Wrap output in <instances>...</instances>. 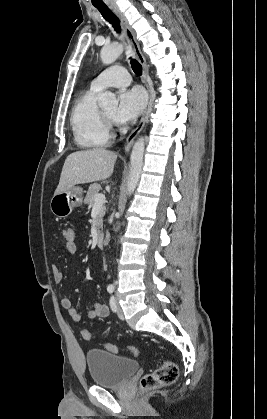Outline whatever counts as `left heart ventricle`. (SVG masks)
I'll return each instance as SVG.
<instances>
[{"label":"left heart ventricle","mask_w":267,"mask_h":419,"mask_svg":"<svg viewBox=\"0 0 267 419\" xmlns=\"http://www.w3.org/2000/svg\"><path fill=\"white\" fill-rule=\"evenodd\" d=\"M116 111L117 108L115 106L105 109L106 114L113 119L115 118Z\"/></svg>","instance_id":"left-heart-ventricle-1"}]
</instances>
